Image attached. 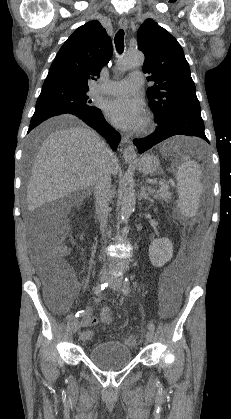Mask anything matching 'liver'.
<instances>
[{
	"mask_svg": "<svg viewBox=\"0 0 231 419\" xmlns=\"http://www.w3.org/2000/svg\"><path fill=\"white\" fill-rule=\"evenodd\" d=\"M65 119L67 117H58L45 123V128L51 132L39 148L27 187V206L31 211L72 192L95 186L109 149L97 133L85 126L52 130ZM109 165L111 174H117L116 156Z\"/></svg>",
	"mask_w": 231,
	"mask_h": 419,
	"instance_id": "liver-1",
	"label": "liver"
}]
</instances>
